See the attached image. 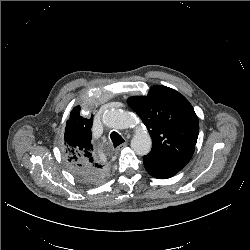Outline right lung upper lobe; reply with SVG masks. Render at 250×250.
Instances as JSON below:
<instances>
[{
    "label": "right lung upper lobe",
    "mask_w": 250,
    "mask_h": 250,
    "mask_svg": "<svg viewBox=\"0 0 250 250\" xmlns=\"http://www.w3.org/2000/svg\"><path fill=\"white\" fill-rule=\"evenodd\" d=\"M92 123L93 117L80 116V106L71 111L65 127L63 153L68 164L76 169L109 170V162L102 159L91 144Z\"/></svg>",
    "instance_id": "right-lung-upper-lobe-1"
}]
</instances>
